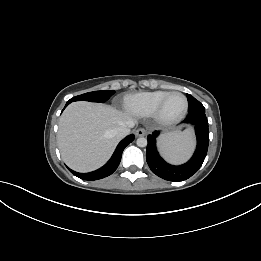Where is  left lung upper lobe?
<instances>
[{
  "label": "left lung upper lobe",
  "mask_w": 261,
  "mask_h": 261,
  "mask_svg": "<svg viewBox=\"0 0 261 261\" xmlns=\"http://www.w3.org/2000/svg\"><path fill=\"white\" fill-rule=\"evenodd\" d=\"M188 98V112H205L204 106L196 100L193 96L187 94Z\"/></svg>",
  "instance_id": "5c2ea615"
}]
</instances>
